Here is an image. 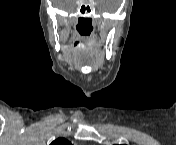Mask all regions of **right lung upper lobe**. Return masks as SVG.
Wrapping results in <instances>:
<instances>
[{
    "mask_svg": "<svg viewBox=\"0 0 176 145\" xmlns=\"http://www.w3.org/2000/svg\"><path fill=\"white\" fill-rule=\"evenodd\" d=\"M69 144L71 143L65 138H58L51 143V145H69Z\"/></svg>",
    "mask_w": 176,
    "mask_h": 145,
    "instance_id": "right-lung-upper-lobe-1",
    "label": "right lung upper lobe"
}]
</instances>
